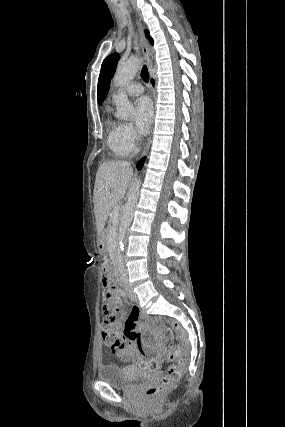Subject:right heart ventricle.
<instances>
[{
	"label": "right heart ventricle",
	"instance_id": "e07e8e85",
	"mask_svg": "<svg viewBox=\"0 0 285 427\" xmlns=\"http://www.w3.org/2000/svg\"><path fill=\"white\" fill-rule=\"evenodd\" d=\"M108 139L107 143L113 153L118 157H125L131 151L124 145L121 136V124L108 119L107 120Z\"/></svg>",
	"mask_w": 285,
	"mask_h": 427
}]
</instances>
